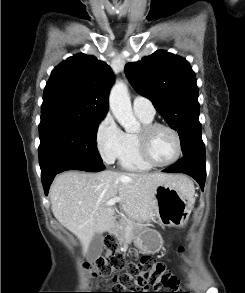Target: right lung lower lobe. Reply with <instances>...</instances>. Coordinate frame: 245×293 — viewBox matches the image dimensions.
Segmentation results:
<instances>
[{"mask_svg": "<svg viewBox=\"0 0 245 293\" xmlns=\"http://www.w3.org/2000/svg\"><path fill=\"white\" fill-rule=\"evenodd\" d=\"M104 169L105 167L102 163L92 162L89 160L68 159L61 161L54 165V167L48 173L42 175V183L45 194L47 195L49 187L57 173L66 170H83L89 172H99Z\"/></svg>", "mask_w": 245, "mask_h": 293, "instance_id": "1", "label": "right lung lower lobe"}]
</instances>
